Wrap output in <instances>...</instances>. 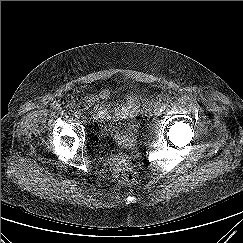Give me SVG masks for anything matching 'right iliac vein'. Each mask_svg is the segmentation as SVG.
Listing matches in <instances>:
<instances>
[{
  "instance_id": "obj_1",
  "label": "right iliac vein",
  "mask_w": 243,
  "mask_h": 243,
  "mask_svg": "<svg viewBox=\"0 0 243 243\" xmlns=\"http://www.w3.org/2000/svg\"><path fill=\"white\" fill-rule=\"evenodd\" d=\"M80 117L82 120H84V121L86 120V117L84 115H81Z\"/></svg>"
}]
</instances>
